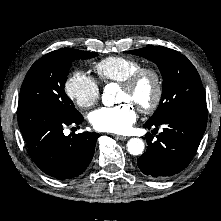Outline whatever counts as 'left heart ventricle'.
Wrapping results in <instances>:
<instances>
[{
	"mask_svg": "<svg viewBox=\"0 0 221 221\" xmlns=\"http://www.w3.org/2000/svg\"><path fill=\"white\" fill-rule=\"evenodd\" d=\"M154 95V82L150 76L143 77L136 87L132 90H126L120 87L118 93V102H129L135 107L149 104Z\"/></svg>",
	"mask_w": 221,
	"mask_h": 221,
	"instance_id": "obj_1",
	"label": "left heart ventricle"
}]
</instances>
